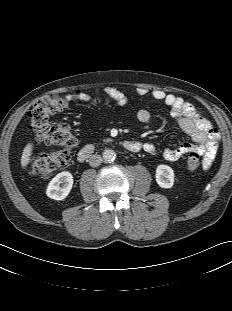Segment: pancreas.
Masks as SVG:
<instances>
[{"instance_id":"1","label":"pancreas","mask_w":232,"mask_h":311,"mask_svg":"<svg viewBox=\"0 0 232 311\" xmlns=\"http://www.w3.org/2000/svg\"><path fill=\"white\" fill-rule=\"evenodd\" d=\"M112 141H113V139H110V138H107V139L103 140V142H105V143H109V142H112Z\"/></svg>"}]
</instances>
